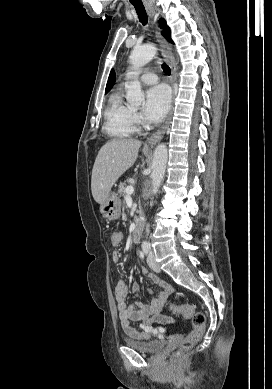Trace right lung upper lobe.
<instances>
[{
  "label": "right lung upper lobe",
  "instance_id": "cb5924a9",
  "mask_svg": "<svg viewBox=\"0 0 272 389\" xmlns=\"http://www.w3.org/2000/svg\"><path fill=\"white\" fill-rule=\"evenodd\" d=\"M115 79H116L115 72L113 70H111L109 78H108V82H107V85H106L105 93H107V92H109L111 90L112 85L115 82Z\"/></svg>",
  "mask_w": 272,
  "mask_h": 389
}]
</instances>
